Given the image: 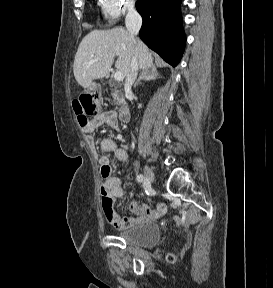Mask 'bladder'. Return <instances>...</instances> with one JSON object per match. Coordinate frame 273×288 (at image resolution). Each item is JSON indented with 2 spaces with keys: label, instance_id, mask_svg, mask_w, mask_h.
I'll list each match as a JSON object with an SVG mask.
<instances>
[{
  "label": "bladder",
  "instance_id": "1",
  "mask_svg": "<svg viewBox=\"0 0 273 288\" xmlns=\"http://www.w3.org/2000/svg\"><path fill=\"white\" fill-rule=\"evenodd\" d=\"M117 237L138 248H152L161 238V230L156 223L137 224L117 233Z\"/></svg>",
  "mask_w": 273,
  "mask_h": 288
}]
</instances>
